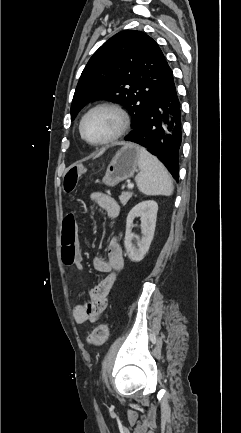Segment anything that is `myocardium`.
I'll return each instance as SVG.
<instances>
[{
  "instance_id": "obj_1",
  "label": "myocardium",
  "mask_w": 241,
  "mask_h": 433,
  "mask_svg": "<svg viewBox=\"0 0 241 433\" xmlns=\"http://www.w3.org/2000/svg\"><path fill=\"white\" fill-rule=\"evenodd\" d=\"M99 110H107V111L114 113L119 120V126H118L117 130L108 138L101 140V141L93 142V141L88 140L85 137L84 132H83V126H84L86 119L91 114H93L94 112L99 111ZM129 125H130L129 116H128L127 112L120 105L115 104V103H110V102H103V103H99V104L94 105L88 111H86V113L82 116L80 123H79V133H80L82 140H84L87 144L92 145V146H105V145L112 144V143L116 142L117 140H119L121 137H123L125 135V133L127 132Z\"/></svg>"
}]
</instances>
